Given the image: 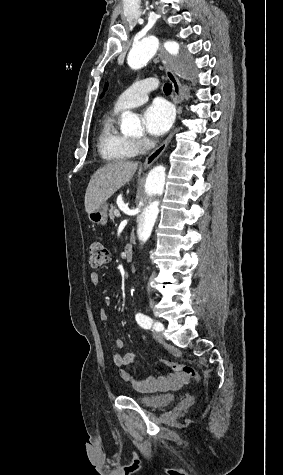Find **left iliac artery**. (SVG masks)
I'll use <instances>...</instances> for the list:
<instances>
[{
  "label": "left iliac artery",
  "instance_id": "left-iliac-artery-1",
  "mask_svg": "<svg viewBox=\"0 0 283 475\" xmlns=\"http://www.w3.org/2000/svg\"><path fill=\"white\" fill-rule=\"evenodd\" d=\"M135 318L137 323L145 329H149L153 326V328L157 331L163 330V325L161 323H154L151 318L143 313H137Z\"/></svg>",
  "mask_w": 283,
  "mask_h": 475
}]
</instances>
